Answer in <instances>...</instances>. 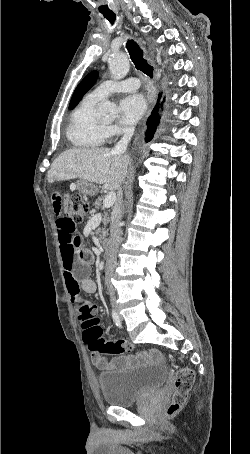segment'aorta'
<instances>
[{
    "instance_id": "obj_1",
    "label": "aorta",
    "mask_w": 250,
    "mask_h": 454,
    "mask_svg": "<svg viewBox=\"0 0 250 454\" xmlns=\"http://www.w3.org/2000/svg\"><path fill=\"white\" fill-rule=\"evenodd\" d=\"M130 69V63L127 55L123 52H117L109 59V70L115 80L126 77ZM99 111L103 114L113 116L116 114V106L111 101H103L99 106Z\"/></svg>"
}]
</instances>
